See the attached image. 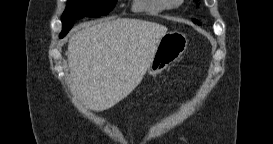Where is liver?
<instances>
[{"instance_id": "obj_1", "label": "liver", "mask_w": 273, "mask_h": 144, "mask_svg": "<svg viewBox=\"0 0 273 144\" xmlns=\"http://www.w3.org/2000/svg\"><path fill=\"white\" fill-rule=\"evenodd\" d=\"M167 27L139 19L86 23L68 41L72 88L91 110H107L142 81Z\"/></svg>"}]
</instances>
